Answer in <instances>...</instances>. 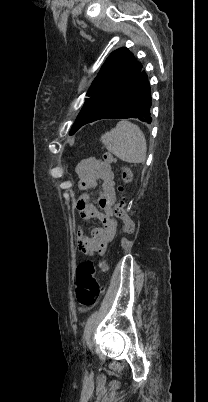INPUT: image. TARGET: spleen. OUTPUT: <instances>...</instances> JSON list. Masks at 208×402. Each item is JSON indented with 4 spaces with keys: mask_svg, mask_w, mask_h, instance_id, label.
<instances>
[{
    "mask_svg": "<svg viewBox=\"0 0 208 402\" xmlns=\"http://www.w3.org/2000/svg\"><path fill=\"white\" fill-rule=\"evenodd\" d=\"M105 148L130 164H142L146 160L147 144L143 132L138 126L122 120L111 132L101 136Z\"/></svg>",
    "mask_w": 208,
    "mask_h": 402,
    "instance_id": "obj_1",
    "label": "spleen"
}]
</instances>
